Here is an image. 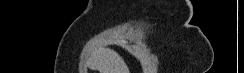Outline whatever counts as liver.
I'll return each instance as SVG.
<instances>
[{
  "label": "liver",
  "instance_id": "6515ba94",
  "mask_svg": "<svg viewBox=\"0 0 244 73\" xmlns=\"http://www.w3.org/2000/svg\"><path fill=\"white\" fill-rule=\"evenodd\" d=\"M91 66L100 73H129V69L120 55L109 48L95 53Z\"/></svg>",
  "mask_w": 244,
  "mask_h": 73
}]
</instances>
